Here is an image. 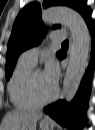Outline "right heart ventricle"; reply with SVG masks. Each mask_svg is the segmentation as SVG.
<instances>
[{"mask_svg":"<svg viewBox=\"0 0 95 130\" xmlns=\"http://www.w3.org/2000/svg\"><path fill=\"white\" fill-rule=\"evenodd\" d=\"M33 66L19 59L9 82L8 91L10 100L19 110L38 108V105L30 99L27 91L28 77L33 70Z\"/></svg>","mask_w":95,"mask_h":130,"instance_id":"obj_1","label":"right heart ventricle"}]
</instances>
